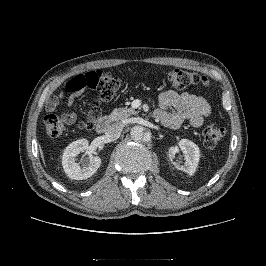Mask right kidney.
Segmentation results:
<instances>
[{
    "mask_svg": "<svg viewBox=\"0 0 266 266\" xmlns=\"http://www.w3.org/2000/svg\"><path fill=\"white\" fill-rule=\"evenodd\" d=\"M88 149V140L81 139L72 142L66 147L62 157V165L65 173L71 179L84 180L91 177L100 167L101 158L91 156L88 164L82 166L76 162V156Z\"/></svg>",
    "mask_w": 266,
    "mask_h": 266,
    "instance_id": "ca27d5eb",
    "label": "right kidney"
}]
</instances>
